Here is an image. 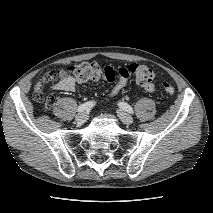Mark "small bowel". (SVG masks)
<instances>
[{
	"label": "small bowel",
	"mask_w": 213,
	"mask_h": 213,
	"mask_svg": "<svg viewBox=\"0 0 213 213\" xmlns=\"http://www.w3.org/2000/svg\"><path fill=\"white\" fill-rule=\"evenodd\" d=\"M57 73H58V75L55 78L56 81L53 84V88L56 90H59V91H66V92L75 91L76 85H77V80L73 76L67 74L64 71H58ZM124 86H125V84L121 87V89H123ZM114 89H115V86H114L113 90ZM146 90L148 92H152L154 90V85L146 88Z\"/></svg>",
	"instance_id": "small-bowel-1"
}]
</instances>
